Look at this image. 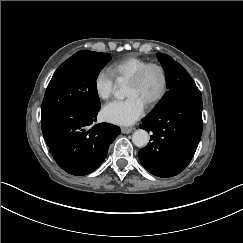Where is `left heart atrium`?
I'll list each match as a JSON object with an SVG mask.
<instances>
[{
    "mask_svg": "<svg viewBox=\"0 0 243 243\" xmlns=\"http://www.w3.org/2000/svg\"><path fill=\"white\" fill-rule=\"evenodd\" d=\"M145 102L137 95H132L124 100H112L103 105L101 114L105 121L128 125L139 119L145 111Z\"/></svg>",
    "mask_w": 243,
    "mask_h": 243,
    "instance_id": "obj_1",
    "label": "left heart atrium"
}]
</instances>
